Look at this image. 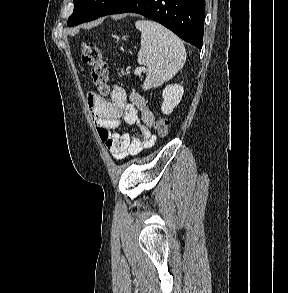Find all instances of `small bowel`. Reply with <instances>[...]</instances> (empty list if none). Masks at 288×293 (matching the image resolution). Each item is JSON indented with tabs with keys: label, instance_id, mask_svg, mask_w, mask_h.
<instances>
[{
	"label": "small bowel",
	"instance_id": "c3829d8e",
	"mask_svg": "<svg viewBox=\"0 0 288 293\" xmlns=\"http://www.w3.org/2000/svg\"><path fill=\"white\" fill-rule=\"evenodd\" d=\"M88 107L99 138L115 159L138 155L154 145L156 137L151 132L154 115L139 94L113 85L108 100L90 93ZM122 123L136 128L133 137L114 131Z\"/></svg>",
	"mask_w": 288,
	"mask_h": 293
}]
</instances>
